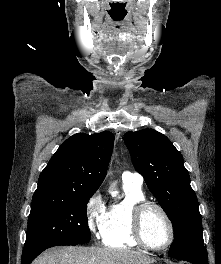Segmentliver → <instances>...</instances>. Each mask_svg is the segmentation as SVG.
I'll return each mask as SVG.
<instances>
[{"label":"liver","instance_id":"6515ba94","mask_svg":"<svg viewBox=\"0 0 221 264\" xmlns=\"http://www.w3.org/2000/svg\"><path fill=\"white\" fill-rule=\"evenodd\" d=\"M140 253L99 247H63L40 255L32 264H149Z\"/></svg>","mask_w":221,"mask_h":264}]
</instances>
